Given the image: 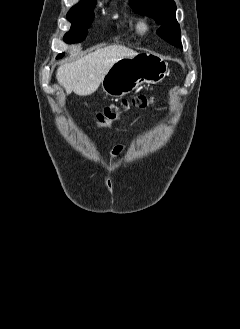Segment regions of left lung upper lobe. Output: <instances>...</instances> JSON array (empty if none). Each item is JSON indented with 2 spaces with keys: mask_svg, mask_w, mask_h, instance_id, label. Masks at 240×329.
Wrapping results in <instances>:
<instances>
[{
  "mask_svg": "<svg viewBox=\"0 0 240 329\" xmlns=\"http://www.w3.org/2000/svg\"><path fill=\"white\" fill-rule=\"evenodd\" d=\"M130 6L135 12L152 17L157 23L161 24L156 33L170 44L182 48L174 1L130 0Z\"/></svg>",
  "mask_w": 240,
  "mask_h": 329,
  "instance_id": "obj_1",
  "label": "left lung upper lobe"
}]
</instances>
